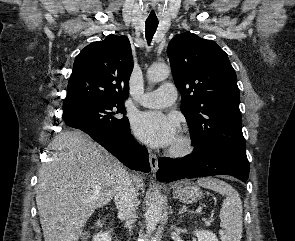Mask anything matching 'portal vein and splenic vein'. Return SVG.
<instances>
[{
    "label": "portal vein and splenic vein",
    "instance_id": "portal-vein-and-splenic-vein-1",
    "mask_svg": "<svg viewBox=\"0 0 295 241\" xmlns=\"http://www.w3.org/2000/svg\"><path fill=\"white\" fill-rule=\"evenodd\" d=\"M94 188H95L96 190H100V187H99V186H95ZM205 224H206V225H209V224H210V221H207Z\"/></svg>",
    "mask_w": 295,
    "mask_h": 241
}]
</instances>
